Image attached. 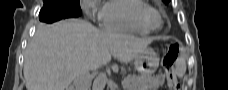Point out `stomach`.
Returning <instances> with one entry per match:
<instances>
[{
	"instance_id": "1",
	"label": "stomach",
	"mask_w": 228,
	"mask_h": 90,
	"mask_svg": "<svg viewBox=\"0 0 228 90\" xmlns=\"http://www.w3.org/2000/svg\"><path fill=\"white\" fill-rule=\"evenodd\" d=\"M134 66L142 76L148 77L158 68L159 56L152 48H146L135 57Z\"/></svg>"
}]
</instances>
